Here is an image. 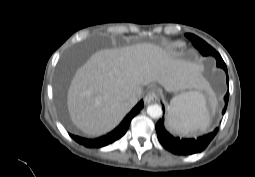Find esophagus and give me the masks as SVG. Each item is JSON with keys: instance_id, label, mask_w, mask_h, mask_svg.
Here are the masks:
<instances>
[{"instance_id": "34e87169", "label": "esophagus", "mask_w": 255, "mask_h": 177, "mask_svg": "<svg viewBox=\"0 0 255 177\" xmlns=\"http://www.w3.org/2000/svg\"><path fill=\"white\" fill-rule=\"evenodd\" d=\"M158 92L155 88H151L144 98V102L146 104H150L152 102H156L158 100Z\"/></svg>"}]
</instances>
